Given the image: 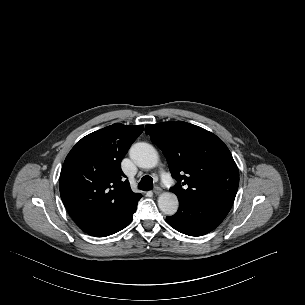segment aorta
<instances>
[{
    "label": "aorta",
    "instance_id": "762f6f07",
    "mask_svg": "<svg viewBox=\"0 0 305 305\" xmlns=\"http://www.w3.org/2000/svg\"><path fill=\"white\" fill-rule=\"evenodd\" d=\"M130 158L141 168H153L158 163L157 151L144 142L136 143L130 148ZM158 207L166 215L175 214L179 207L177 196L170 192L162 193L158 197Z\"/></svg>",
    "mask_w": 305,
    "mask_h": 305
}]
</instances>
